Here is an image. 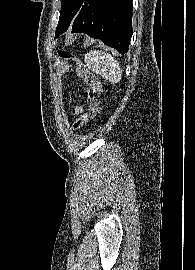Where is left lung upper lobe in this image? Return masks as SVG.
<instances>
[{
    "label": "left lung upper lobe",
    "mask_w": 195,
    "mask_h": 270,
    "mask_svg": "<svg viewBox=\"0 0 195 270\" xmlns=\"http://www.w3.org/2000/svg\"><path fill=\"white\" fill-rule=\"evenodd\" d=\"M85 0H61V11L56 35L62 33L80 11Z\"/></svg>",
    "instance_id": "5c2ea615"
}]
</instances>
